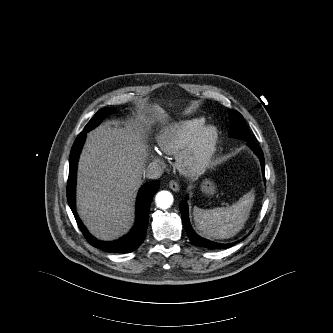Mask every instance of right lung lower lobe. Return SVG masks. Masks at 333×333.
<instances>
[{
    "instance_id": "98d812e1",
    "label": "right lung lower lobe",
    "mask_w": 333,
    "mask_h": 333,
    "mask_svg": "<svg viewBox=\"0 0 333 333\" xmlns=\"http://www.w3.org/2000/svg\"><path fill=\"white\" fill-rule=\"evenodd\" d=\"M83 131L75 140L71 149L69 161V177L67 183V199L69 206L75 216L77 224L87 241L94 247L111 253H130L138 248L143 242L149 219V209L154 194L158 191L160 182L153 181L141 187L136 202V222L129 234L113 242H104L95 239L85 228L76 213L75 208V184L77 163L81 148L86 137Z\"/></svg>"
}]
</instances>
